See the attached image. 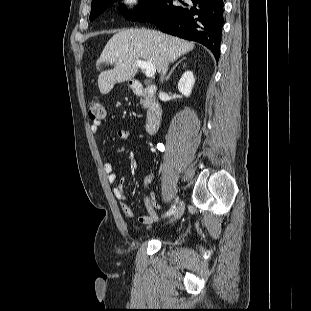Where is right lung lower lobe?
<instances>
[{"label": "right lung lower lobe", "mask_w": 311, "mask_h": 311, "mask_svg": "<svg viewBox=\"0 0 311 311\" xmlns=\"http://www.w3.org/2000/svg\"><path fill=\"white\" fill-rule=\"evenodd\" d=\"M172 0L160 2L135 21L154 23L163 32L199 42L219 59L223 27V0Z\"/></svg>", "instance_id": "right-lung-lower-lobe-1"}]
</instances>
